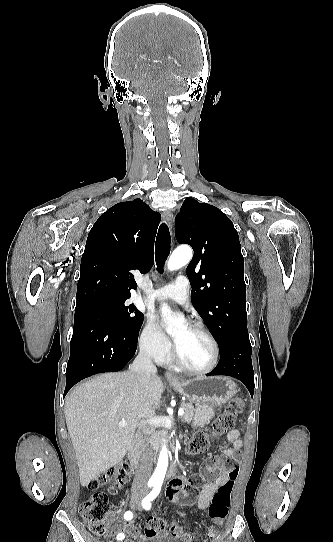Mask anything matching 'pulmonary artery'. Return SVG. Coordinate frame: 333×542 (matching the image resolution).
<instances>
[{
  "mask_svg": "<svg viewBox=\"0 0 333 542\" xmlns=\"http://www.w3.org/2000/svg\"><path fill=\"white\" fill-rule=\"evenodd\" d=\"M175 281V285H172L171 282L162 287V295L158 294L161 289L157 288V294L155 295L154 299L158 301L166 300L169 302H175L185 307L187 306L189 300V291H187L189 287L188 283L182 274H177L175 276Z\"/></svg>",
  "mask_w": 333,
  "mask_h": 542,
  "instance_id": "1",
  "label": "pulmonary artery"
}]
</instances>
